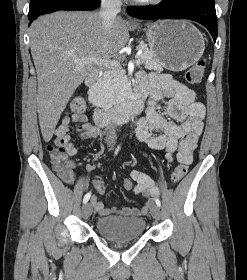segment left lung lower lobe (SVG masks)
I'll return each mask as SVG.
<instances>
[{
	"label": "left lung lower lobe",
	"instance_id": "1",
	"mask_svg": "<svg viewBox=\"0 0 247 280\" xmlns=\"http://www.w3.org/2000/svg\"><path fill=\"white\" fill-rule=\"evenodd\" d=\"M127 13L139 19H189L202 24L217 38L214 0H163L151 8H128Z\"/></svg>",
	"mask_w": 247,
	"mask_h": 280
}]
</instances>
